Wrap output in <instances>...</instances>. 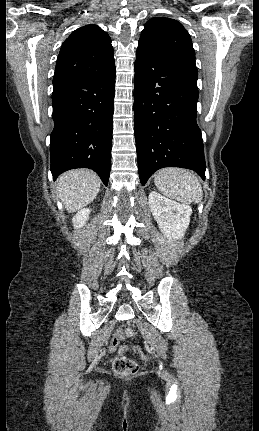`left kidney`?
<instances>
[{"label":"left kidney","instance_id":"5707ae66","mask_svg":"<svg viewBox=\"0 0 259 431\" xmlns=\"http://www.w3.org/2000/svg\"><path fill=\"white\" fill-rule=\"evenodd\" d=\"M149 206L160 231L169 240L181 239L190 223L192 209L152 191Z\"/></svg>","mask_w":259,"mask_h":431}]
</instances>
